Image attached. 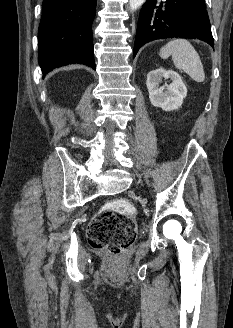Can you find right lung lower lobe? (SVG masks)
I'll use <instances>...</instances> for the list:
<instances>
[{
  "instance_id": "obj_1",
  "label": "right lung lower lobe",
  "mask_w": 233,
  "mask_h": 328,
  "mask_svg": "<svg viewBox=\"0 0 233 328\" xmlns=\"http://www.w3.org/2000/svg\"><path fill=\"white\" fill-rule=\"evenodd\" d=\"M97 0H44L38 31L42 73L71 63L96 69L92 22Z\"/></svg>"
}]
</instances>
